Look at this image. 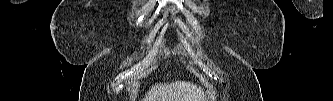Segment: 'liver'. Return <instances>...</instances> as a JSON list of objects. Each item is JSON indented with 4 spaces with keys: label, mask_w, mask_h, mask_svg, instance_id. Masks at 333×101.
Masks as SVG:
<instances>
[{
    "label": "liver",
    "mask_w": 333,
    "mask_h": 101,
    "mask_svg": "<svg viewBox=\"0 0 333 101\" xmlns=\"http://www.w3.org/2000/svg\"><path fill=\"white\" fill-rule=\"evenodd\" d=\"M201 88L186 81L155 84L143 101H206Z\"/></svg>",
    "instance_id": "1"
}]
</instances>
